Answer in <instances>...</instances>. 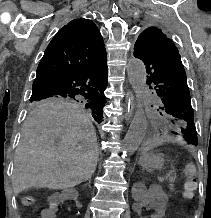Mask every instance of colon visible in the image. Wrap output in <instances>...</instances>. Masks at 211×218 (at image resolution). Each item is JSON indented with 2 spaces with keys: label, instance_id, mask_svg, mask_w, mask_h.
Here are the masks:
<instances>
[{
  "label": "colon",
  "instance_id": "1",
  "mask_svg": "<svg viewBox=\"0 0 211 218\" xmlns=\"http://www.w3.org/2000/svg\"><path fill=\"white\" fill-rule=\"evenodd\" d=\"M196 189V183L195 181H188L186 183V186H185V192H184V195L186 198H192L193 197V194H194V191ZM32 202V197L28 196L24 199V203L25 204H30Z\"/></svg>",
  "mask_w": 211,
  "mask_h": 218
}]
</instances>
